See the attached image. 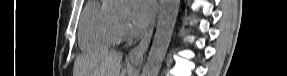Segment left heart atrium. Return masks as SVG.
<instances>
[{"instance_id":"left-heart-atrium-1","label":"left heart atrium","mask_w":287,"mask_h":76,"mask_svg":"<svg viewBox=\"0 0 287 76\" xmlns=\"http://www.w3.org/2000/svg\"><path fill=\"white\" fill-rule=\"evenodd\" d=\"M132 21L137 27L146 26L154 17L156 3L153 0H132Z\"/></svg>"}]
</instances>
